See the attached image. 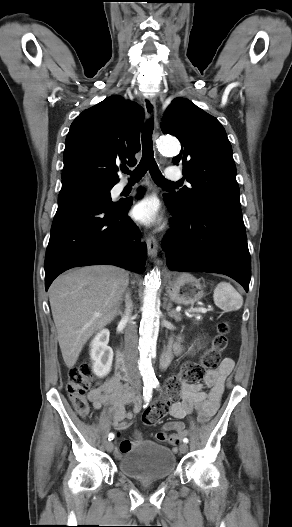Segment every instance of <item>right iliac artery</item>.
Returning <instances> with one entry per match:
<instances>
[{
	"instance_id": "obj_1",
	"label": "right iliac artery",
	"mask_w": 292,
	"mask_h": 527,
	"mask_svg": "<svg viewBox=\"0 0 292 527\" xmlns=\"http://www.w3.org/2000/svg\"><path fill=\"white\" fill-rule=\"evenodd\" d=\"M153 388L154 386L152 384H146L143 388V399H144V402L147 404L152 398ZM114 437H115L114 433H109L108 435L109 441L113 440Z\"/></svg>"
}]
</instances>
